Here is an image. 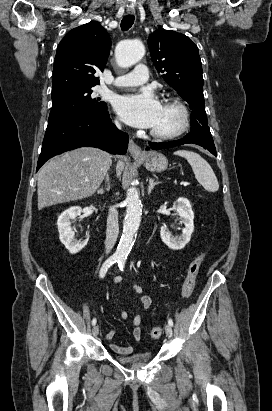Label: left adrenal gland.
<instances>
[{
    "label": "left adrenal gland",
    "instance_id": "left-adrenal-gland-1",
    "mask_svg": "<svg viewBox=\"0 0 272 411\" xmlns=\"http://www.w3.org/2000/svg\"><path fill=\"white\" fill-rule=\"evenodd\" d=\"M157 184H159V181H155V179H153V178L149 179L148 194H150L152 192L154 186H156Z\"/></svg>",
    "mask_w": 272,
    "mask_h": 411
}]
</instances>
